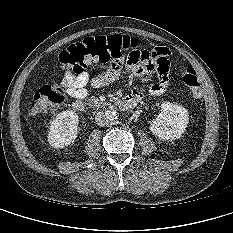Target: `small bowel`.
<instances>
[{"label":"small bowel","instance_id":"1","mask_svg":"<svg viewBox=\"0 0 233 233\" xmlns=\"http://www.w3.org/2000/svg\"><path fill=\"white\" fill-rule=\"evenodd\" d=\"M170 51L168 48L159 47L154 49L137 48L128 51L122 60H111L101 69V73L91 76L88 71L78 75H68L64 79L67 94L77 100H83L87 97L86 86L91 84L95 88L104 87L115 81L121 73L126 70L130 75L149 78L153 73L158 75V80L154 82L149 93L152 96H159L168 89L167 74L171 70V63L168 60ZM131 95L142 97L139 90L134 89Z\"/></svg>","mask_w":233,"mask_h":233}]
</instances>
